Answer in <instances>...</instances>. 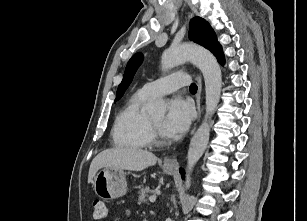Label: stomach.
<instances>
[{
    "mask_svg": "<svg viewBox=\"0 0 307 221\" xmlns=\"http://www.w3.org/2000/svg\"><path fill=\"white\" fill-rule=\"evenodd\" d=\"M164 171L172 174L174 170L164 168ZM93 186L100 198L105 200L119 198L127 192L126 174L123 170L104 168L96 174Z\"/></svg>",
    "mask_w": 307,
    "mask_h": 221,
    "instance_id": "0dacf381",
    "label": "stomach"
}]
</instances>
